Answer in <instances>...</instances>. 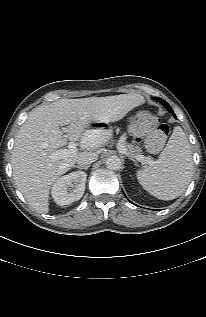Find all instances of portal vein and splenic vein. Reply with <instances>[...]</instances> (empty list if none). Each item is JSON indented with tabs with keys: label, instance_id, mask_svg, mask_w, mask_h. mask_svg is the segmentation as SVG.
Here are the masks:
<instances>
[{
	"label": "portal vein and splenic vein",
	"instance_id": "obj_1",
	"mask_svg": "<svg viewBox=\"0 0 206 317\" xmlns=\"http://www.w3.org/2000/svg\"><path fill=\"white\" fill-rule=\"evenodd\" d=\"M82 143L84 145L90 146V145H92L93 141L83 139ZM117 148L121 153L126 154V155H130V157L136 159L137 161H140V162L145 161V157L143 155H133V154L128 153L127 149L120 143H117ZM76 151H77V143H75L74 141H70L68 143V149L56 150V151L52 152L49 157L52 160H59V159L73 156Z\"/></svg>",
	"mask_w": 206,
	"mask_h": 317
}]
</instances>
